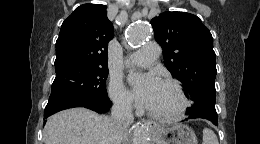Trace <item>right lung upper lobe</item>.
Here are the masks:
<instances>
[{"label": "right lung upper lobe", "instance_id": "right-lung-upper-lobe-1", "mask_svg": "<svg viewBox=\"0 0 260 144\" xmlns=\"http://www.w3.org/2000/svg\"><path fill=\"white\" fill-rule=\"evenodd\" d=\"M114 29L106 6L83 4L63 22L56 41L55 68L65 65L108 66V42Z\"/></svg>", "mask_w": 260, "mask_h": 144}]
</instances>
